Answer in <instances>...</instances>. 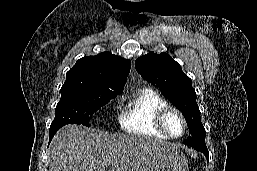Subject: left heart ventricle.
I'll return each mask as SVG.
<instances>
[{"label":"left heart ventricle","instance_id":"obj_1","mask_svg":"<svg viewBox=\"0 0 257 171\" xmlns=\"http://www.w3.org/2000/svg\"><path fill=\"white\" fill-rule=\"evenodd\" d=\"M165 123L168 131L172 135L178 136L183 132V123L178 114L174 112L169 113Z\"/></svg>","mask_w":257,"mask_h":171}]
</instances>
